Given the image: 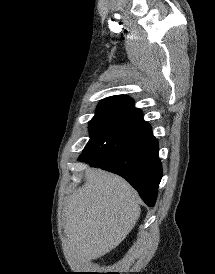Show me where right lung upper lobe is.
<instances>
[{"mask_svg": "<svg viewBox=\"0 0 215 274\" xmlns=\"http://www.w3.org/2000/svg\"><path fill=\"white\" fill-rule=\"evenodd\" d=\"M112 103V104H117L121 105L124 107H128L131 109L139 110L134 107V102L131 98L124 96V95H116V96H111L106 99H103L100 103Z\"/></svg>", "mask_w": 215, "mask_h": 274, "instance_id": "1", "label": "right lung upper lobe"}]
</instances>
